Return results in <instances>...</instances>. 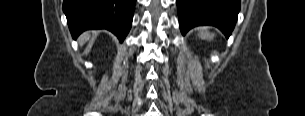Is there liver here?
<instances>
[{
    "label": "liver",
    "instance_id": "liver-1",
    "mask_svg": "<svg viewBox=\"0 0 305 116\" xmlns=\"http://www.w3.org/2000/svg\"><path fill=\"white\" fill-rule=\"evenodd\" d=\"M89 38H90V35L88 33H86L80 37L79 42L81 44H84L87 40H89Z\"/></svg>",
    "mask_w": 305,
    "mask_h": 116
}]
</instances>
